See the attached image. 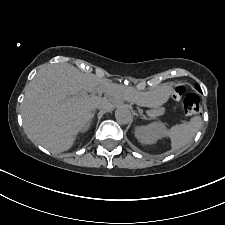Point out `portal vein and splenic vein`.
Returning a JSON list of instances; mask_svg holds the SVG:
<instances>
[{
    "label": "portal vein and splenic vein",
    "mask_w": 225,
    "mask_h": 225,
    "mask_svg": "<svg viewBox=\"0 0 225 225\" xmlns=\"http://www.w3.org/2000/svg\"><path fill=\"white\" fill-rule=\"evenodd\" d=\"M98 93H99V91H97ZM80 95L83 97V96H86L87 95V93H86V91H82L81 93H80ZM77 97H80L79 95H77ZM148 114H149V112H148ZM150 115V114H149Z\"/></svg>",
    "instance_id": "obj_1"
}]
</instances>
